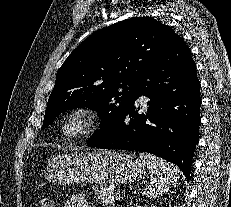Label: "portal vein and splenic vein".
Here are the masks:
<instances>
[{
  "label": "portal vein and splenic vein",
  "mask_w": 231,
  "mask_h": 207,
  "mask_svg": "<svg viewBox=\"0 0 231 207\" xmlns=\"http://www.w3.org/2000/svg\"><path fill=\"white\" fill-rule=\"evenodd\" d=\"M121 197V195L117 192V198H120Z\"/></svg>",
  "instance_id": "1"
}]
</instances>
